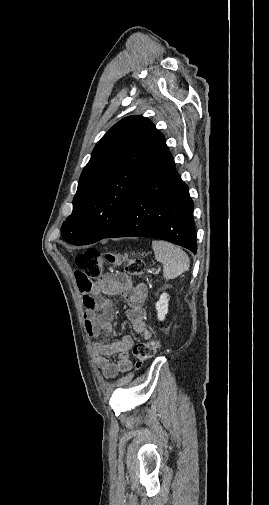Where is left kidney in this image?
<instances>
[{
    "instance_id": "5707ae66",
    "label": "left kidney",
    "mask_w": 269,
    "mask_h": 505,
    "mask_svg": "<svg viewBox=\"0 0 269 505\" xmlns=\"http://www.w3.org/2000/svg\"><path fill=\"white\" fill-rule=\"evenodd\" d=\"M169 295L167 293H162L158 302L156 303V311L158 320L163 321L165 319L166 314L168 313V302Z\"/></svg>"
}]
</instances>
